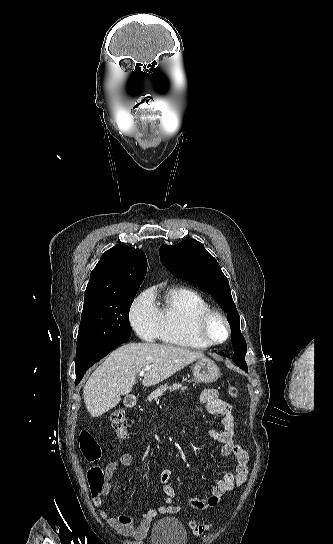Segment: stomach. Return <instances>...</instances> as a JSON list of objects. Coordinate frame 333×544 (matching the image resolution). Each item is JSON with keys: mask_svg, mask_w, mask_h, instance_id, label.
Returning a JSON list of instances; mask_svg holds the SVG:
<instances>
[{"mask_svg": "<svg viewBox=\"0 0 333 544\" xmlns=\"http://www.w3.org/2000/svg\"><path fill=\"white\" fill-rule=\"evenodd\" d=\"M193 376L196 382L209 384L220 376V369L212 360L202 358L193 366Z\"/></svg>", "mask_w": 333, "mask_h": 544, "instance_id": "obj_1", "label": "stomach"}]
</instances>
